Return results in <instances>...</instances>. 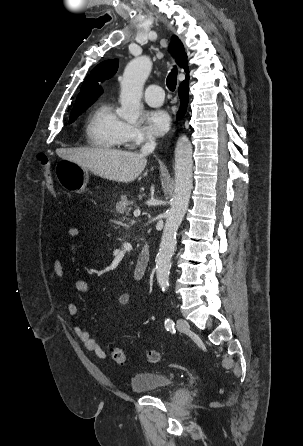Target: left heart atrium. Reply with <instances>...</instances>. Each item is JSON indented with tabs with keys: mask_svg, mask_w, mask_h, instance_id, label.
Listing matches in <instances>:
<instances>
[{
	"mask_svg": "<svg viewBox=\"0 0 303 446\" xmlns=\"http://www.w3.org/2000/svg\"><path fill=\"white\" fill-rule=\"evenodd\" d=\"M148 130L155 135H163L170 127V116L162 109L150 110L145 113Z\"/></svg>",
	"mask_w": 303,
	"mask_h": 446,
	"instance_id": "1",
	"label": "left heart atrium"
}]
</instances>
